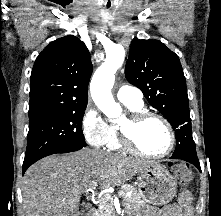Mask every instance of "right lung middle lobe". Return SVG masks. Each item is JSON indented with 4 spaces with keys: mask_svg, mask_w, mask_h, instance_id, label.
Instances as JSON below:
<instances>
[{
    "mask_svg": "<svg viewBox=\"0 0 221 216\" xmlns=\"http://www.w3.org/2000/svg\"><path fill=\"white\" fill-rule=\"evenodd\" d=\"M86 106L29 119L27 149L23 164L34 163L55 152L86 146L82 119Z\"/></svg>",
    "mask_w": 221,
    "mask_h": 216,
    "instance_id": "obj_1",
    "label": "right lung middle lobe"
}]
</instances>
